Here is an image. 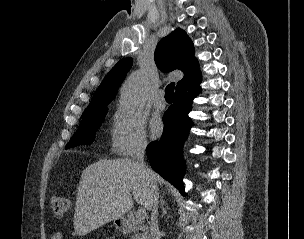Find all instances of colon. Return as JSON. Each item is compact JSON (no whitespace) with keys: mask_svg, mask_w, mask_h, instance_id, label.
<instances>
[{"mask_svg":"<svg viewBox=\"0 0 304 239\" xmlns=\"http://www.w3.org/2000/svg\"><path fill=\"white\" fill-rule=\"evenodd\" d=\"M51 207L56 217H65L71 209V200L65 196H54L51 199Z\"/></svg>","mask_w":304,"mask_h":239,"instance_id":"5ec220e1","label":"colon"}]
</instances>
